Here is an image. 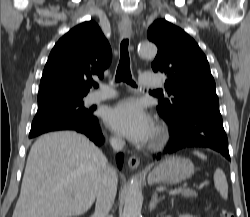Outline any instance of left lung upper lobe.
Returning a JSON list of instances; mask_svg holds the SVG:
<instances>
[{
    "label": "left lung upper lobe",
    "instance_id": "1",
    "mask_svg": "<svg viewBox=\"0 0 250 217\" xmlns=\"http://www.w3.org/2000/svg\"><path fill=\"white\" fill-rule=\"evenodd\" d=\"M148 39L158 47L152 68L165 73V88L172 95L159 100L157 110L163 118L171 121L186 108L219 102L207 58L185 31L160 19L149 27Z\"/></svg>",
    "mask_w": 250,
    "mask_h": 217
}]
</instances>
